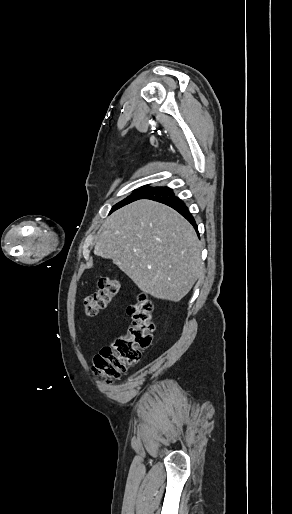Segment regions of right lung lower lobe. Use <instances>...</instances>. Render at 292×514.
<instances>
[{"mask_svg": "<svg viewBox=\"0 0 292 514\" xmlns=\"http://www.w3.org/2000/svg\"><path fill=\"white\" fill-rule=\"evenodd\" d=\"M141 199H150L170 206L179 212L183 217H185L194 226L196 232L198 233L197 225L193 216L190 214L185 203L174 195L172 189L168 187H155Z\"/></svg>", "mask_w": 292, "mask_h": 514, "instance_id": "98d812e1", "label": "right lung lower lobe"}]
</instances>
